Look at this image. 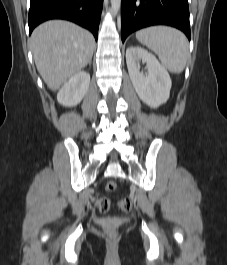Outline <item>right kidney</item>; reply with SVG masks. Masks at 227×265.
<instances>
[{
	"mask_svg": "<svg viewBox=\"0 0 227 265\" xmlns=\"http://www.w3.org/2000/svg\"><path fill=\"white\" fill-rule=\"evenodd\" d=\"M90 84V75L79 71L65 83L57 94L58 102L63 106H75L86 95Z\"/></svg>",
	"mask_w": 227,
	"mask_h": 265,
	"instance_id": "1",
	"label": "right kidney"
}]
</instances>
